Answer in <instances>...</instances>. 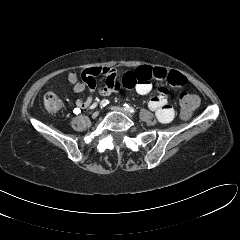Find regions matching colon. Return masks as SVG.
<instances>
[{
    "instance_id": "5ec220e1",
    "label": "colon",
    "mask_w": 240,
    "mask_h": 240,
    "mask_svg": "<svg viewBox=\"0 0 240 240\" xmlns=\"http://www.w3.org/2000/svg\"><path fill=\"white\" fill-rule=\"evenodd\" d=\"M199 104V98L188 92L182 91L180 94V108L181 114L188 118L196 110ZM62 106L61 99L54 92H47L44 96V107L48 112L55 113L59 111Z\"/></svg>"
}]
</instances>
